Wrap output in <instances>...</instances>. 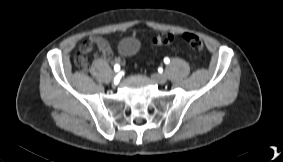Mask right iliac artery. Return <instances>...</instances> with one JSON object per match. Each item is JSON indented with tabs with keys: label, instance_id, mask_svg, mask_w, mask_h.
<instances>
[{
	"label": "right iliac artery",
	"instance_id": "obj_1",
	"mask_svg": "<svg viewBox=\"0 0 283 162\" xmlns=\"http://www.w3.org/2000/svg\"><path fill=\"white\" fill-rule=\"evenodd\" d=\"M114 70H115L116 72H118V71L120 70V66H119L118 64H116V65L114 66Z\"/></svg>",
	"mask_w": 283,
	"mask_h": 162
}]
</instances>
